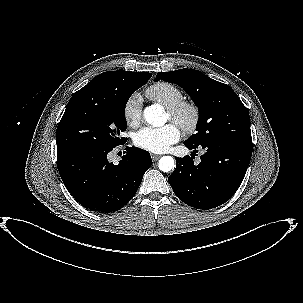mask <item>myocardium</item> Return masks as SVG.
I'll return each mask as SVG.
<instances>
[{
	"label": "myocardium",
	"mask_w": 303,
	"mask_h": 303,
	"mask_svg": "<svg viewBox=\"0 0 303 303\" xmlns=\"http://www.w3.org/2000/svg\"><path fill=\"white\" fill-rule=\"evenodd\" d=\"M167 114L187 134L195 132L200 121V110L190 101L183 100L167 108Z\"/></svg>",
	"instance_id": "obj_1"
}]
</instances>
